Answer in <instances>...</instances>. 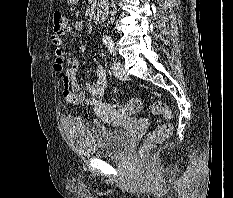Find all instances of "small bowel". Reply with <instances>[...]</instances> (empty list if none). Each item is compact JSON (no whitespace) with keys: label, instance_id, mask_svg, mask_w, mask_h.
Wrapping results in <instances>:
<instances>
[{"label":"small bowel","instance_id":"obj_1","mask_svg":"<svg viewBox=\"0 0 233 198\" xmlns=\"http://www.w3.org/2000/svg\"><path fill=\"white\" fill-rule=\"evenodd\" d=\"M83 29V23L76 21L70 25L66 24L61 31L52 33L51 42L56 48L53 68L63 80V97L68 104L92 106L99 117L106 118L111 114V109L102 102L107 87L105 69L98 66L96 68V80L84 83L85 90L90 95L89 98H86L76 79L80 67L79 61L76 58L65 56L61 51L64 37L71 33H81Z\"/></svg>","mask_w":233,"mask_h":198}]
</instances>
